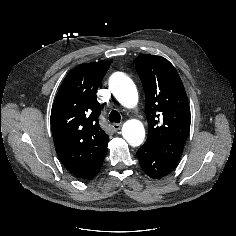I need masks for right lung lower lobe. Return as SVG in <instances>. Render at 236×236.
I'll return each instance as SVG.
<instances>
[{
	"label": "right lung lower lobe",
	"instance_id": "obj_1",
	"mask_svg": "<svg viewBox=\"0 0 236 236\" xmlns=\"http://www.w3.org/2000/svg\"><path fill=\"white\" fill-rule=\"evenodd\" d=\"M99 169L100 167L97 170H95L92 174H90L86 179H92L98 173Z\"/></svg>",
	"mask_w": 236,
	"mask_h": 236
}]
</instances>
